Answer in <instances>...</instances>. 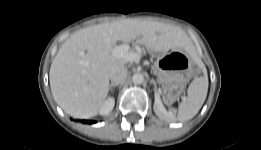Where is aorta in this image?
Returning a JSON list of instances; mask_svg holds the SVG:
<instances>
[{
    "label": "aorta",
    "instance_id": "obj_1",
    "mask_svg": "<svg viewBox=\"0 0 261 150\" xmlns=\"http://www.w3.org/2000/svg\"><path fill=\"white\" fill-rule=\"evenodd\" d=\"M132 81L134 84H142L144 81V76L141 73H136L133 75Z\"/></svg>",
    "mask_w": 261,
    "mask_h": 150
}]
</instances>
